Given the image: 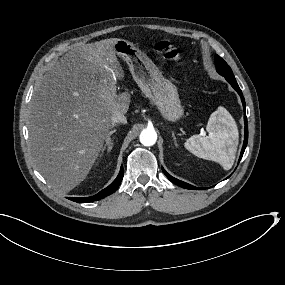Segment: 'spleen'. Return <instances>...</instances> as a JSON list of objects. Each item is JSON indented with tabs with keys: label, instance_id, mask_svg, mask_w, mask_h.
<instances>
[{
	"label": "spleen",
	"instance_id": "spleen-1",
	"mask_svg": "<svg viewBox=\"0 0 285 285\" xmlns=\"http://www.w3.org/2000/svg\"><path fill=\"white\" fill-rule=\"evenodd\" d=\"M226 126L227 130L221 129ZM231 123L218 111L211 114L207 131L208 137L193 135L185 142V148L197 157L219 162L225 170H229L235 159L238 133L230 128Z\"/></svg>",
	"mask_w": 285,
	"mask_h": 285
}]
</instances>
